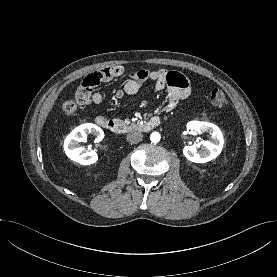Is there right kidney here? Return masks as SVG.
<instances>
[{
    "mask_svg": "<svg viewBox=\"0 0 277 277\" xmlns=\"http://www.w3.org/2000/svg\"><path fill=\"white\" fill-rule=\"evenodd\" d=\"M88 134L95 136V142H100L104 138V132L100 127L92 123H86L76 127L64 141L66 155L81 165H90L98 160L95 151H89L78 146V143L84 141Z\"/></svg>",
    "mask_w": 277,
    "mask_h": 277,
    "instance_id": "right-kidney-1",
    "label": "right kidney"
}]
</instances>
